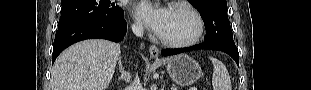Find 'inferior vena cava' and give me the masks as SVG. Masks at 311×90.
<instances>
[{"instance_id":"1","label":"inferior vena cava","mask_w":311,"mask_h":90,"mask_svg":"<svg viewBox=\"0 0 311 90\" xmlns=\"http://www.w3.org/2000/svg\"><path fill=\"white\" fill-rule=\"evenodd\" d=\"M132 31L137 37L143 36V27L140 24H134L132 25ZM142 86L138 77V74H136L133 83L131 84L129 90H141Z\"/></svg>"}]
</instances>
